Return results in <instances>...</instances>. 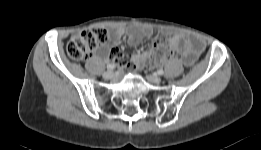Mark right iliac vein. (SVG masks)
Here are the masks:
<instances>
[{"label": "right iliac vein", "instance_id": "right-iliac-vein-1", "mask_svg": "<svg viewBox=\"0 0 261 150\" xmlns=\"http://www.w3.org/2000/svg\"><path fill=\"white\" fill-rule=\"evenodd\" d=\"M103 77L105 79H112L114 77V72L113 71H106L104 74H103Z\"/></svg>", "mask_w": 261, "mask_h": 150}]
</instances>
